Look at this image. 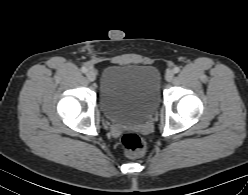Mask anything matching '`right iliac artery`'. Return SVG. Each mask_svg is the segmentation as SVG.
I'll return each instance as SVG.
<instances>
[{"label":"right iliac artery","instance_id":"obj_1","mask_svg":"<svg viewBox=\"0 0 248 195\" xmlns=\"http://www.w3.org/2000/svg\"><path fill=\"white\" fill-rule=\"evenodd\" d=\"M87 70H88V69H87L86 67H82V68H81V71H82L83 73H86Z\"/></svg>","mask_w":248,"mask_h":195}]
</instances>
